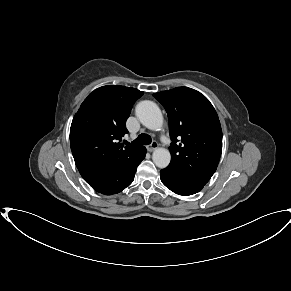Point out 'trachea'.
Masks as SVG:
<instances>
[{
    "instance_id": "1",
    "label": "trachea",
    "mask_w": 291,
    "mask_h": 291,
    "mask_svg": "<svg viewBox=\"0 0 291 291\" xmlns=\"http://www.w3.org/2000/svg\"><path fill=\"white\" fill-rule=\"evenodd\" d=\"M151 142V136L146 133H142L131 143V145H149ZM125 144L128 145L129 143L126 142Z\"/></svg>"
}]
</instances>
